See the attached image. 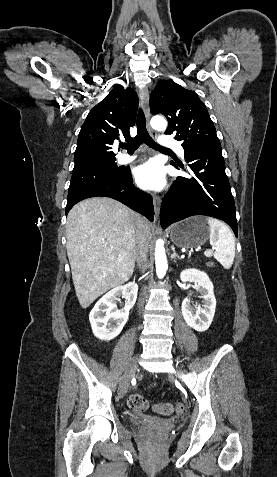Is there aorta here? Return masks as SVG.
I'll list each match as a JSON object with an SVG mask.
<instances>
[{
  "instance_id": "1",
  "label": "aorta",
  "mask_w": 277,
  "mask_h": 477,
  "mask_svg": "<svg viewBox=\"0 0 277 477\" xmlns=\"http://www.w3.org/2000/svg\"><path fill=\"white\" fill-rule=\"evenodd\" d=\"M150 124L152 128L158 131H164L167 127L166 120L161 116H155L151 119ZM155 264L158 278H163L166 274L168 264L163 241L161 239L156 241L155 248Z\"/></svg>"
}]
</instances>
